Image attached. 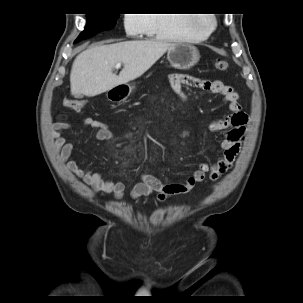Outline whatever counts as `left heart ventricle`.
Segmentation results:
<instances>
[{
  "instance_id": "1",
  "label": "left heart ventricle",
  "mask_w": 303,
  "mask_h": 303,
  "mask_svg": "<svg viewBox=\"0 0 303 303\" xmlns=\"http://www.w3.org/2000/svg\"><path fill=\"white\" fill-rule=\"evenodd\" d=\"M209 27H210V21L207 18L203 19L198 25V28L201 30H207Z\"/></svg>"
}]
</instances>
